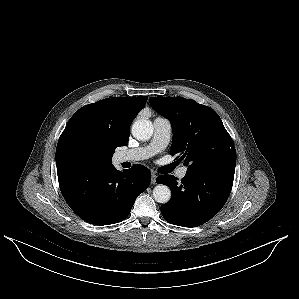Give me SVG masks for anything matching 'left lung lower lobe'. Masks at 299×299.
Here are the masks:
<instances>
[{
	"label": "left lung lower lobe",
	"mask_w": 299,
	"mask_h": 299,
	"mask_svg": "<svg viewBox=\"0 0 299 299\" xmlns=\"http://www.w3.org/2000/svg\"><path fill=\"white\" fill-rule=\"evenodd\" d=\"M235 168L205 166L188 170L178 184L172 175H160L172 199L161 206L163 217L182 227H197L209 221L226 203L233 185Z\"/></svg>",
	"instance_id": "1"
}]
</instances>
